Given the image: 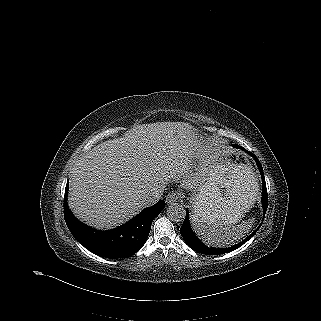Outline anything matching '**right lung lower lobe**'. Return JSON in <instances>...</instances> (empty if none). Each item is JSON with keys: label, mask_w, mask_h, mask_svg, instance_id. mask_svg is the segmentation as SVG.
I'll return each instance as SVG.
<instances>
[{"label": "right lung lower lobe", "mask_w": 321, "mask_h": 321, "mask_svg": "<svg viewBox=\"0 0 321 321\" xmlns=\"http://www.w3.org/2000/svg\"><path fill=\"white\" fill-rule=\"evenodd\" d=\"M65 189L64 217L72 235L94 254L111 259L126 258L139 251L147 240L153 219L164 209L165 201L144 209L118 228L100 231L80 222L67 205Z\"/></svg>", "instance_id": "right-lung-lower-lobe-1"}]
</instances>
